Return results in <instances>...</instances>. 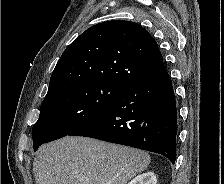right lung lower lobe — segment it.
Returning a JSON list of instances; mask_svg holds the SVG:
<instances>
[{
	"label": "right lung lower lobe",
	"instance_id": "98d812e1",
	"mask_svg": "<svg viewBox=\"0 0 224 184\" xmlns=\"http://www.w3.org/2000/svg\"><path fill=\"white\" fill-rule=\"evenodd\" d=\"M69 135L155 152L174 163L177 109L169 75L127 86L104 111Z\"/></svg>",
	"mask_w": 224,
	"mask_h": 184
}]
</instances>
